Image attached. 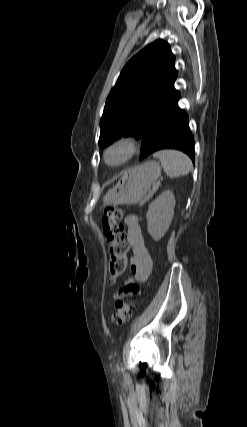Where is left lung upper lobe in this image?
I'll list each match as a JSON object with an SVG mask.
<instances>
[{"label": "left lung upper lobe", "instance_id": "obj_1", "mask_svg": "<svg viewBox=\"0 0 247 427\" xmlns=\"http://www.w3.org/2000/svg\"><path fill=\"white\" fill-rule=\"evenodd\" d=\"M170 45L157 40L124 66L100 120L99 146L122 136L141 138L149 124L179 97Z\"/></svg>", "mask_w": 247, "mask_h": 427}]
</instances>
